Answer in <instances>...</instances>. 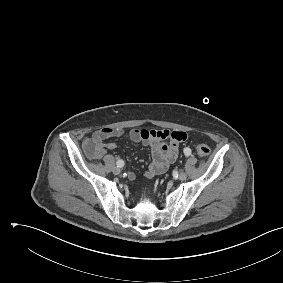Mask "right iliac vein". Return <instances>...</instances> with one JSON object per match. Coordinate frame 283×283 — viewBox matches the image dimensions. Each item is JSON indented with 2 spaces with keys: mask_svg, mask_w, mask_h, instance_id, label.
<instances>
[{
  "mask_svg": "<svg viewBox=\"0 0 283 283\" xmlns=\"http://www.w3.org/2000/svg\"><path fill=\"white\" fill-rule=\"evenodd\" d=\"M113 173H114L115 175H118V174L121 173V169H120L119 167H115V168H113Z\"/></svg>",
  "mask_w": 283,
  "mask_h": 283,
  "instance_id": "1",
  "label": "right iliac vein"
}]
</instances>
